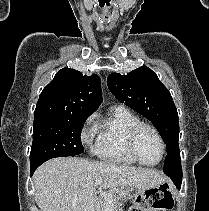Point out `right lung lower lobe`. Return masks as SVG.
Here are the masks:
<instances>
[{
    "label": "right lung lower lobe",
    "instance_id": "right-lung-lower-lobe-1",
    "mask_svg": "<svg viewBox=\"0 0 209 211\" xmlns=\"http://www.w3.org/2000/svg\"><path fill=\"white\" fill-rule=\"evenodd\" d=\"M37 167H30V172H31V175L34 173V171L36 170Z\"/></svg>",
    "mask_w": 209,
    "mask_h": 211
}]
</instances>
